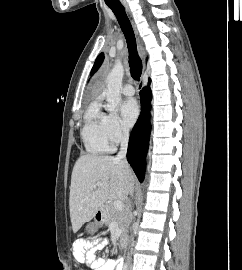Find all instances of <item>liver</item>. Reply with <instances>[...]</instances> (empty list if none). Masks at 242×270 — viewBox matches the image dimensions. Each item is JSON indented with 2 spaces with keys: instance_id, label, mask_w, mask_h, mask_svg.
I'll return each instance as SVG.
<instances>
[{
  "instance_id": "obj_1",
  "label": "liver",
  "mask_w": 242,
  "mask_h": 270,
  "mask_svg": "<svg viewBox=\"0 0 242 270\" xmlns=\"http://www.w3.org/2000/svg\"><path fill=\"white\" fill-rule=\"evenodd\" d=\"M98 182L103 186L95 188ZM135 176L123 160L113 156L82 155L76 161L70 186V218L73 232L102 210L107 200L125 201Z\"/></svg>"
}]
</instances>
